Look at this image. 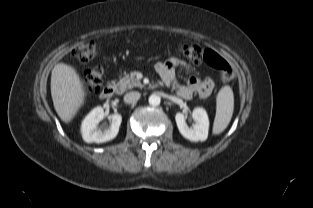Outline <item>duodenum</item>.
Wrapping results in <instances>:
<instances>
[{"label":"duodenum","instance_id":"410a0bca","mask_svg":"<svg viewBox=\"0 0 313 208\" xmlns=\"http://www.w3.org/2000/svg\"><path fill=\"white\" fill-rule=\"evenodd\" d=\"M115 85L113 84H107L106 86H104V88L101 90V93H100V97L103 98V99H108L110 97H112V95L114 94L115 92Z\"/></svg>","mask_w":313,"mask_h":208}]
</instances>
